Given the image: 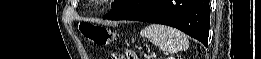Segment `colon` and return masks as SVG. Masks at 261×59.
I'll return each mask as SVG.
<instances>
[{
	"instance_id": "obj_1",
	"label": "colon",
	"mask_w": 261,
	"mask_h": 59,
	"mask_svg": "<svg viewBox=\"0 0 261 59\" xmlns=\"http://www.w3.org/2000/svg\"><path fill=\"white\" fill-rule=\"evenodd\" d=\"M79 29L84 37L98 46L108 45L113 39L114 34L106 27L95 24H80ZM136 59L135 54L132 51H126L125 56H120L118 53H112L108 59Z\"/></svg>"
}]
</instances>
